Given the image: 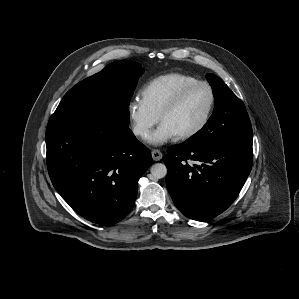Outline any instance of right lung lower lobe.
Returning a JSON list of instances; mask_svg holds the SVG:
<instances>
[{
    "label": "right lung lower lobe",
    "instance_id": "obj_1",
    "mask_svg": "<svg viewBox=\"0 0 299 299\" xmlns=\"http://www.w3.org/2000/svg\"><path fill=\"white\" fill-rule=\"evenodd\" d=\"M46 147L57 192L83 218L102 225L131 211L138 180L152 164L150 150L114 118L48 124Z\"/></svg>",
    "mask_w": 299,
    "mask_h": 299
}]
</instances>
